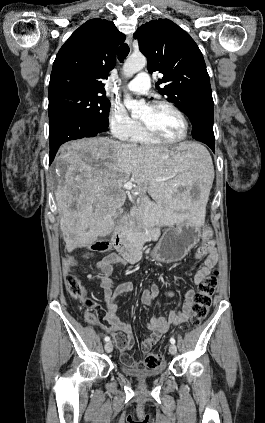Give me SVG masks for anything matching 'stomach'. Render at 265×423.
Returning a JSON list of instances; mask_svg holds the SVG:
<instances>
[{"instance_id":"0dacf381","label":"stomach","mask_w":265,"mask_h":423,"mask_svg":"<svg viewBox=\"0 0 265 423\" xmlns=\"http://www.w3.org/2000/svg\"><path fill=\"white\" fill-rule=\"evenodd\" d=\"M198 153L201 155V160L204 162L208 174L211 165L210 155L208 151L201 146ZM195 184L202 189L203 183H194L193 185ZM192 186H190V188ZM199 238L200 226L187 218L164 232L152 250L151 257L155 261L162 263L179 261L198 243Z\"/></svg>"}]
</instances>
